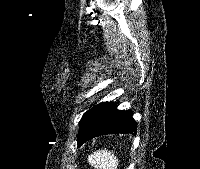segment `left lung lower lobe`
Wrapping results in <instances>:
<instances>
[{
    "instance_id": "left-lung-lower-lobe-1",
    "label": "left lung lower lobe",
    "mask_w": 200,
    "mask_h": 169,
    "mask_svg": "<svg viewBox=\"0 0 200 169\" xmlns=\"http://www.w3.org/2000/svg\"><path fill=\"white\" fill-rule=\"evenodd\" d=\"M114 102L100 103L87 113L80 123L78 147L84 142L105 134L130 133L137 131L131 110H118Z\"/></svg>"
}]
</instances>
